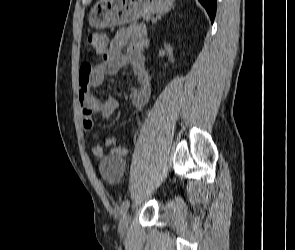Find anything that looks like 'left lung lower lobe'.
<instances>
[{
	"label": "left lung lower lobe",
	"instance_id": "left-lung-lower-lobe-1",
	"mask_svg": "<svg viewBox=\"0 0 295 250\" xmlns=\"http://www.w3.org/2000/svg\"><path fill=\"white\" fill-rule=\"evenodd\" d=\"M199 2L205 7L210 16L211 22H213L216 14V0H199Z\"/></svg>",
	"mask_w": 295,
	"mask_h": 250
}]
</instances>
